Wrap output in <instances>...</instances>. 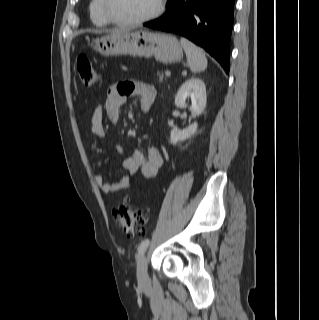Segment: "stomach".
<instances>
[{"mask_svg": "<svg viewBox=\"0 0 319 320\" xmlns=\"http://www.w3.org/2000/svg\"><path fill=\"white\" fill-rule=\"evenodd\" d=\"M94 49L104 56H154L164 64L177 63L183 58L182 47L175 36L144 30L103 36L95 40Z\"/></svg>", "mask_w": 319, "mask_h": 320, "instance_id": "0dacf381", "label": "stomach"}]
</instances>
